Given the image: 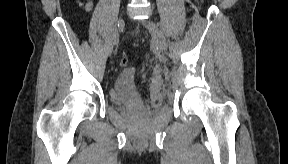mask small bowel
I'll return each mask as SVG.
<instances>
[{
  "label": "small bowel",
  "mask_w": 288,
  "mask_h": 164,
  "mask_svg": "<svg viewBox=\"0 0 288 164\" xmlns=\"http://www.w3.org/2000/svg\"><path fill=\"white\" fill-rule=\"evenodd\" d=\"M85 9L87 12H91L93 9V3L92 2H88L85 6Z\"/></svg>",
  "instance_id": "1"
}]
</instances>
